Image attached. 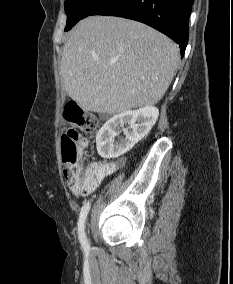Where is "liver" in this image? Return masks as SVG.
I'll return each instance as SVG.
<instances>
[{
  "label": "liver",
  "mask_w": 233,
  "mask_h": 284,
  "mask_svg": "<svg viewBox=\"0 0 233 284\" xmlns=\"http://www.w3.org/2000/svg\"><path fill=\"white\" fill-rule=\"evenodd\" d=\"M179 58L176 43L143 23L91 16L65 42L60 73L80 107L112 115L158 103Z\"/></svg>",
  "instance_id": "6515ba94"
}]
</instances>
